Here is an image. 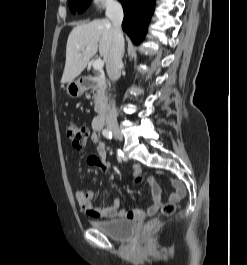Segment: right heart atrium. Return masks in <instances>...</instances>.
<instances>
[{
  "mask_svg": "<svg viewBox=\"0 0 247 265\" xmlns=\"http://www.w3.org/2000/svg\"><path fill=\"white\" fill-rule=\"evenodd\" d=\"M92 2L102 7H110L116 2V0H92Z\"/></svg>",
  "mask_w": 247,
  "mask_h": 265,
  "instance_id": "d8ad5b80",
  "label": "right heart atrium"
}]
</instances>
